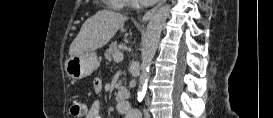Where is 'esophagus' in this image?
I'll use <instances>...</instances> for the list:
<instances>
[{"mask_svg": "<svg viewBox=\"0 0 273 118\" xmlns=\"http://www.w3.org/2000/svg\"><path fill=\"white\" fill-rule=\"evenodd\" d=\"M166 0H160L159 3L153 7L152 9H150L149 11H147L144 16L142 17V22H147L155 13V11L165 2Z\"/></svg>", "mask_w": 273, "mask_h": 118, "instance_id": "obj_1", "label": "esophagus"}]
</instances>
